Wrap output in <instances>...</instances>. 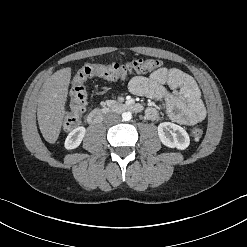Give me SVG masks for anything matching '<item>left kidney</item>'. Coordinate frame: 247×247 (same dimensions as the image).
<instances>
[{
  "mask_svg": "<svg viewBox=\"0 0 247 247\" xmlns=\"http://www.w3.org/2000/svg\"><path fill=\"white\" fill-rule=\"evenodd\" d=\"M157 130L161 142L169 148L185 150L190 144L188 133L177 124L163 122L158 125Z\"/></svg>",
  "mask_w": 247,
  "mask_h": 247,
  "instance_id": "obj_1",
  "label": "left kidney"
}]
</instances>
